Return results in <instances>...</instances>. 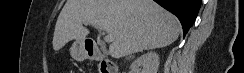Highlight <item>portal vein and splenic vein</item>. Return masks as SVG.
Segmentation results:
<instances>
[{
	"instance_id": "18ae733b",
	"label": "portal vein and splenic vein",
	"mask_w": 244,
	"mask_h": 73,
	"mask_svg": "<svg viewBox=\"0 0 244 73\" xmlns=\"http://www.w3.org/2000/svg\"><path fill=\"white\" fill-rule=\"evenodd\" d=\"M84 24H89L88 22H84ZM103 35H104V41L107 42V43H110L113 41L114 37L111 35V34H107L105 32H103Z\"/></svg>"
}]
</instances>
